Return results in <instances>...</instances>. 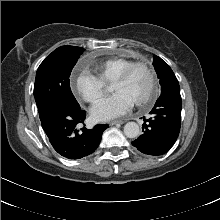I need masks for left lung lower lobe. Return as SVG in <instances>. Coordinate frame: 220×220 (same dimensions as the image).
Here are the masks:
<instances>
[{
	"mask_svg": "<svg viewBox=\"0 0 220 220\" xmlns=\"http://www.w3.org/2000/svg\"><path fill=\"white\" fill-rule=\"evenodd\" d=\"M182 100L180 91L161 94L150 118H144L143 134L132 145L144 154L159 156L175 143L180 131Z\"/></svg>",
	"mask_w": 220,
	"mask_h": 220,
	"instance_id": "obj_1",
	"label": "left lung lower lobe"
}]
</instances>
